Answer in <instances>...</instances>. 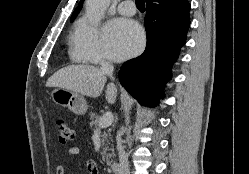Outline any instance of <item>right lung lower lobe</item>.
<instances>
[{"instance_id": "obj_1", "label": "right lung lower lobe", "mask_w": 249, "mask_h": 174, "mask_svg": "<svg viewBox=\"0 0 249 174\" xmlns=\"http://www.w3.org/2000/svg\"><path fill=\"white\" fill-rule=\"evenodd\" d=\"M189 10L188 0L146 6V49L141 56L125 62L119 71L120 83L140 104L156 106L163 98L171 66L186 41Z\"/></svg>"}]
</instances>
